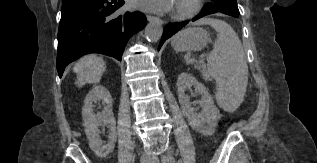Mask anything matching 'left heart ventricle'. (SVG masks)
Segmentation results:
<instances>
[{
  "label": "left heart ventricle",
  "instance_id": "1",
  "mask_svg": "<svg viewBox=\"0 0 317 163\" xmlns=\"http://www.w3.org/2000/svg\"><path fill=\"white\" fill-rule=\"evenodd\" d=\"M179 1H180V0H177L176 5L179 3ZM176 5H175V6H176Z\"/></svg>",
  "mask_w": 317,
  "mask_h": 163
}]
</instances>
